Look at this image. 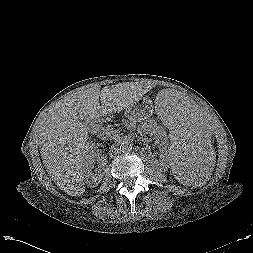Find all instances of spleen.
<instances>
[{
    "mask_svg": "<svg viewBox=\"0 0 253 253\" xmlns=\"http://www.w3.org/2000/svg\"><path fill=\"white\" fill-rule=\"evenodd\" d=\"M154 109L170 139L174 178L185 187L199 186L210 175L215 157V140L203 113L176 89L158 92Z\"/></svg>",
    "mask_w": 253,
    "mask_h": 253,
    "instance_id": "spleen-1",
    "label": "spleen"
}]
</instances>
